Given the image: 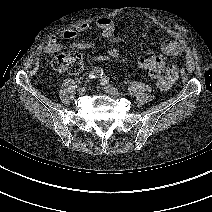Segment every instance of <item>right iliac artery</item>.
<instances>
[{"label":"right iliac artery","mask_w":212,"mask_h":212,"mask_svg":"<svg viewBox=\"0 0 212 212\" xmlns=\"http://www.w3.org/2000/svg\"><path fill=\"white\" fill-rule=\"evenodd\" d=\"M103 75H104L103 69L96 68L89 73L88 79L99 78L102 77Z\"/></svg>","instance_id":"1"}]
</instances>
